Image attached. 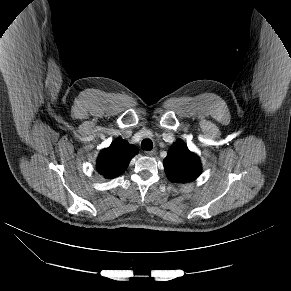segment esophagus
<instances>
[{
  "label": "esophagus",
  "mask_w": 291,
  "mask_h": 291,
  "mask_svg": "<svg viewBox=\"0 0 291 291\" xmlns=\"http://www.w3.org/2000/svg\"><path fill=\"white\" fill-rule=\"evenodd\" d=\"M147 155L149 156H155L156 155V150L153 149L152 151L146 152Z\"/></svg>",
  "instance_id": "34e87169"
}]
</instances>
